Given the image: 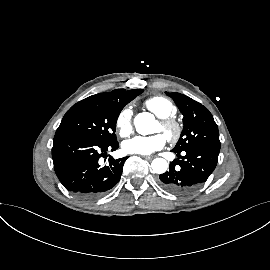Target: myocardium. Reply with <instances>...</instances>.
Returning <instances> with one entry per match:
<instances>
[{"instance_id":"1","label":"myocardium","mask_w":270,"mask_h":270,"mask_svg":"<svg viewBox=\"0 0 270 270\" xmlns=\"http://www.w3.org/2000/svg\"><path fill=\"white\" fill-rule=\"evenodd\" d=\"M159 124L162 128V132L170 142L176 143L181 138L183 126L176 118H160Z\"/></svg>"}]
</instances>
